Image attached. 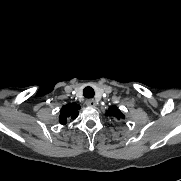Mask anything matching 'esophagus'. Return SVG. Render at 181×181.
I'll return each instance as SVG.
<instances>
[{"label": "esophagus", "instance_id": "1", "mask_svg": "<svg viewBox=\"0 0 181 181\" xmlns=\"http://www.w3.org/2000/svg\"><path fill=\"white\" fill-rule=\"evenodd\" d=\"M86 105L89 107H96L97 103L93 99H88V100H86Z\"/></svg>", "mask_w": 181, "mask_h": 181}]
</instances>
